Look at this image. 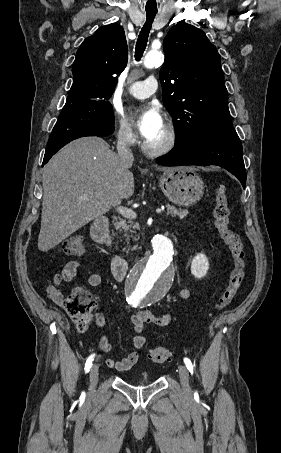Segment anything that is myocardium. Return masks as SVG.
Instances as JSON below:
<instances>
[{
	"instance_id": "f54148a6",
	"label": "myocardium",
	"mask_w": 281,
	"mask_h": 453,
	"mask_svg": "<svg viewBox=\"0 0 281 453\" xmlns=\"http://www.w3.org/2000/svg\"><path fill=\"white\" fill-rule=\"evenodd\" d=\"M164 127L167 132V142L160 146H154L144 138L140 144V148L144 154L158 157L170 153L175 148L178 139L176 128L170 122H165Z\"/></svg>"
}]
</instances>
